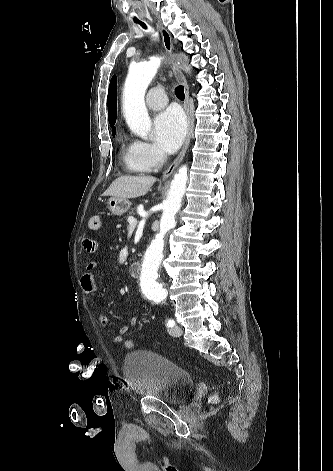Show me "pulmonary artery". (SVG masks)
Wrapping results in <instances>:
<instances>
[{
  "instance_id": "obj_1",
  "label": "pulmonary artery",
  "mask_w": 333,
  "mask_h": 471,
  "mask_svg": "<svg viewBox=\"0 0 333 471\" xmlns=\"http://www.w3.org/2000/svg\"><path fill=\"white\" fill-rule=\"evenodd\" d=\"M167 102V96L160 87H154L147 93L146 105L151 110H160L166 106Z\"/></svg>"
}]
</instances>
